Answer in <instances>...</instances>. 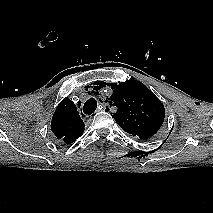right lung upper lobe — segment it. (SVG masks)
Listing matches in <instances>:
<instances>
[{
    "instance_id": "obj_1",
    "label": "right lung upper lobe",
    "mask_w": 213,
    "mask_h": 213,
    "mask_svg": "<svg viewBox=\"0 0 213 213\" xmlns=\"http://www.w3.org/2000/svg\"><path fill=\"white\" fill-rule=\"evenodd\" d=\"M84 122L74 103L63 99L57 106L51 121V130L59 143L71 144L84 132Z\"/></svg>"
}]
</instances>
